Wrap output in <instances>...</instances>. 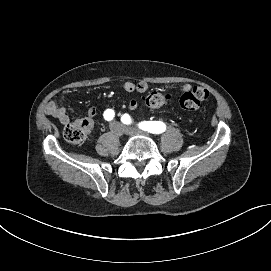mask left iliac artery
<instances>
[{
  "mask_svg": "<svg viewBox=\"0 0 271 271\" xmlns=\"http://www.w3.org/2000/svg\"><path fill=\"white\" fill-rule=\"evenodd\" d=\"M121 121L126 125H132L134 123V118L131 115L124 114L121 117ZM138 126L140 129L153 134H160L166 129V125L160 121H143L139 123Z\"/></svg>",
  "mask_w": 271,
  "mask_h": 271,
  "instance_id": "left-iliac-artery-1",
  "label": "left iliac artery"
}]
</instances>
